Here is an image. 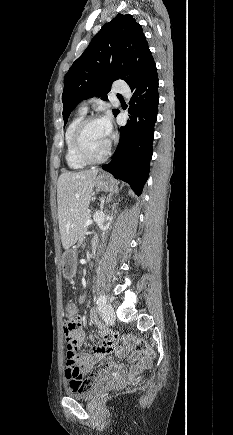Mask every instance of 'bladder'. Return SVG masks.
Listing matches in <instances>:
<instances>
[{
    "label": "bladder",
    "instance_id": "obj_1",
    "mask_svg": "<svg viewBox=\"0 0 233 435\" xmlns=\"http://www.w3.org/2000/svg\"><path fill=\"white\" fill-rule=\"evenodd\" d=\"M102 386V383L98 382L89 386L88 389L84 391H74L71 389H67L65 391V395L68 397L76 398V399H91L95 396L96 391L99 387Z\"/></svg>",
    "mask_w": 233,
    "mask_h": 435
}]
</instances>
